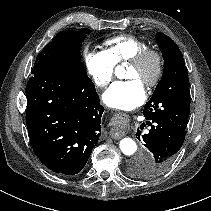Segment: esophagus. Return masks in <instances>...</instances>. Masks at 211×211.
Returning <instances> with one entry per match:
<instances>
[{"mask_svg": "<svg viewBox=\"0 0 211 211\" xmlns=\"http://www.w3.org/2000/svg\"><path fill=\"white\" fill-rule=\"evenodd\" d=\"M118 115L123 116L124 114L119 113ZM113 137H114V138H120V137H121V135H113Z\"/></svg>", "mask_w": 211, "mask_h": 211, "instance_id": "1", "label": "esophagus"}]
</instances>
